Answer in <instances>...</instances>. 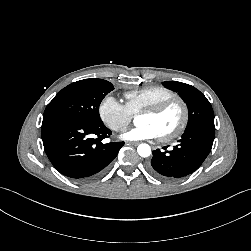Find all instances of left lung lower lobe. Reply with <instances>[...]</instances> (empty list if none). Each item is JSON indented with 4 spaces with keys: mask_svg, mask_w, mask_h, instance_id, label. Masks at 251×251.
Returning <instances> with one entry per match:
<instances>
[{
    "mask_svg": "<svg viewBox=\"0 0 251 251\" xmlns=\"http://www.w3.org/2000/svg\"><path fill=\"white\" fill-rule=\"evenodd\" d=\"M214 127L199 125L186 129L173 149L154 150L149 172L155 177L173 181L197 170L211 151Z\"/></svg>",
    "mask_w": 251,
    "mask_h": 251,
    "instance_id": "1",
    "label": "left lung lower lobe"
}]
</instances>
